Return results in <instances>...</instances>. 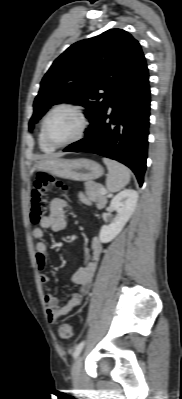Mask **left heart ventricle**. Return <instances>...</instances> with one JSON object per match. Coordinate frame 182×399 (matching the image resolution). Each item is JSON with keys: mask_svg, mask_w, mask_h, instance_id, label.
I'll list each match as a JSON object with an SVG mask.
<instances>
[{"mask_svg": "<svg viewBox=\"0 0 182 399\" xmlns=\"http://www.w3.org/2000/svg\"><path fill=\"white\" fill-rule=\"evenodd\" d=\"M80 128L78 115L68 109H61L51 115L47 123L48 136L55 142H65L74 137Z\"/></svg>", "mask_w": 182, "mask_h": 399, "instance_id": "left-heart-ventricle-1", "label": "left heart ventricle"}]
</instances>
